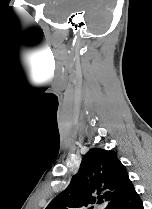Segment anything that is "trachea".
Returning <instances> with one entry per match:
<instances>
[{
    "label": "trachea",
    "mask_w": 152,
    "mask_h": 209,
    "mask_svg": "<svg viewBox=\"0 0 152 209\" xmlns=\"http://www.w3.org/2000/svg\"><path fill=\"white\" fill-rule=\"evenodd\" d=\"M102 202H103V199H102V198H100V199H99V203H102Z\"/></svg>",
    "instance_id": "trachea-1"
}]
</instances>
